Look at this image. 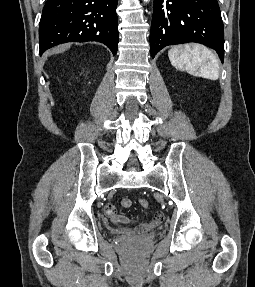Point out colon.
Listing matches in <instances>:
<instances>
[{"label": "colon", "mask_w": 255, "mask_h": 287, "mask_svg": "<svg viewBox=\"0 0 255 287\" xmlns=\"http://www.w3.org/2000/svg\"><path fill=\"white\" fill-rule=\"evenodd\" d=\"M139 204H140V206L143 207V208H147L148 205H149L148 201L145 200V199H140V200H139Z\"/></svg>", "instance_id": "obj_1"}]
</instances>
